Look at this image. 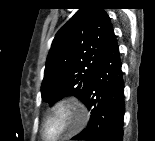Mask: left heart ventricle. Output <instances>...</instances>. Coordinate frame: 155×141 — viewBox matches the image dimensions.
<instances>
[{
	"label": "left heart ventricle",
	"instance_id": "1",
	"mask_svg": "<svg viewBox=\"0 0 155 141\" xmlns=\"http://www.w3.org/2000/svg\"><path fill=\"white\" fill-rule=\"evenodd\" d=\"M57 130H58V127H57V126H55V125L49 126V127L47 128V133H48L49 135H53Z\"/></svg>",
	"mask_w": 155,
	"mask_h": 141
}]
</instances>
